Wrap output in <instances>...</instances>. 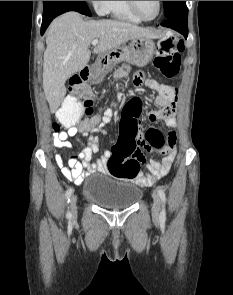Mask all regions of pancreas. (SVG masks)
<instances>
[{
    "label": "pancreas",
    "mask_w": 233,
    "mask_h": 295,
    "mask_svg": "<svg viewBox=\"0 0 233 295\" xmlns=\"http://www.w3.org/2000/svg\"><path fill=\"white\" fill-rule=\"evenodd\" d=\"M131 67L129 65L123 64L114 72V78H121L124 76H128V72L130 71Z\"/></svg>",
    "instance_id": "cf45deb5"
}]
</instances>
